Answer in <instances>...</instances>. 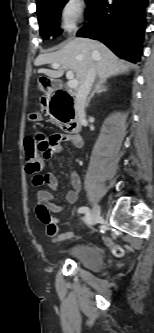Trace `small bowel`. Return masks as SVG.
Masks as SVG:
<instances>
[{
  "instance_id": "c3829d8e",
  "label": "small bowel",
  "mask_w": 154,
  "mask_h": 333,
  "mask_svg": "<svg viewBox=\"0 0 154 333\" xmlns=\"http://www.w3.org/2000/svg\"><path fill=\"white\" fill-rule=\"evenodd\" d=\"M65 142H70L75 147H80L83 143L81 136L70 133H57L50 136L48 139L44 138L42 135H38L37 149L39 155L44 160H49L54 155H62L64 153L63 144ZM32 183L35 187L46 186L54 191L58 189L57 177L52 173L34 175ZM70 183L71 189L64 194V198L68 203H75L82 187L81 179L76 172H71ZM37 199V216L42 223L48 225L51 222L50 213L59 212L62 207L56 202L51 191L47 189L42 188L38 190ZM72 236V231H60L52 237V242L58 244L69 240Z\"/></svg>"
}]
</instances>
